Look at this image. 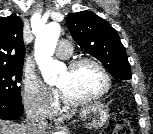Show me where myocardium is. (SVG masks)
Instances as JSON below:
<instances>
[{
	"label": "myocardium",
	"mask_w": 153,
	"mask_h": 134,
	"mask_svg": "<svg viewBox=\"0 0 153 134\" xmlns=\"http://www.w3.org/2000/svg\"><path fill=\"white\" fill-rule=\"evenodd\" d=\"M83 64H92L101 72V74L103 75V78H104V82H105L104 87L98 93H96L90 97L81 98V99L71 98L62 89L58 88L61 99H62L63 103H65L66 105L81 106L84 104H88L90 102H93V101L100 99L105 94H107L109 92V90L111 89L112 78H111L109 71L103 65V63H101L99 60H97L95 58L82 57V58L75 59L68 64V69L74 70Z\"/></svg>",
	"instance_id": "obj_1"
}]
</instances>
